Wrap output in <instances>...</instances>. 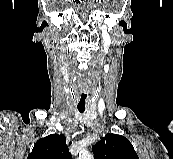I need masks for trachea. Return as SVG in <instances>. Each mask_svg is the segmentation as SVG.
Listing matches in <instances>:
<instances>
[{
  "mask_svg": "<svg viewBox=\"0 0 173 159\" xmlns=\"http://www.w3.org/2000/svg\"><path fill=\"white\" fill-rule=\"evenodd\" d=\"M78 110L80 113H84V111H85V109H81V108H79Z\"/></svg>",
  "mask_w": 173,
  "mask_h": 159,
  "instance_id": "3493384b",
  "label": "trachea"
}]
</instances>
